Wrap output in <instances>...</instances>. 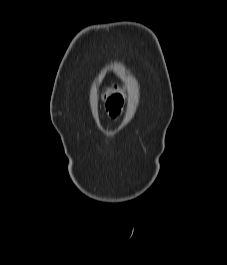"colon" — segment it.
I'll return each instance as SVG.
<instances>
[{
	"mask_svg": "<svg viewBox=\"0 0 227 265\" xmlns=\"http://www.w3.org/2000/svg\"><path fill=\"white\" fill-rule=\"evenodd\" d=\"M107 109L112 116H116L123 104V96L120 92L119 87L114 86L108 88L105 93Z\"/></svg>",
	"mask_w": 227,
	"mask_h": 265,
	"instance_id": "5ec220e1",
	"label": "colon"
}]
</instances>
